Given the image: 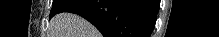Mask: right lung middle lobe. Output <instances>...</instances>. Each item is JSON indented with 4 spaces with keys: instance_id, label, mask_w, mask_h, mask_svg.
Segmentation results:
<instances>
[{
    "instance_id": "right-lung-middle-lobe-1",
    "label": "right lung middle lobe",
    "mask_w": 219,
    "mask_h": 37,
    "mask_svg": "<svg viewBox=\"0 0 219 37\" xmlns=\"http://www.w3.org/2000/svg\"><path fill=\"white\" fill-rule=\"evenodd\" d=\"M67 2V0H54L50 12V18L53 17L56 13H58L59 9Z\"/></svg>"
}]
</instances>
